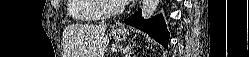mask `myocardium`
<instances>
[{
	"label": "myocardium",
	"instance_id": "myocardium-1",
	"mask_svg": "<svg viewBox=\"0 0 249 57\" xmlns=\"http://www.w3.org/2000/svg\"><path fill=\"white\" fill-rule=\"evenodd\" d=\"M108 0H97L98 10L103 17L110 18L120 15L124 11V4L119 3L115 8H109Z\"/></svg>",
	"mask_w": 249,
	"mask_h": 57
}]
</instances>
